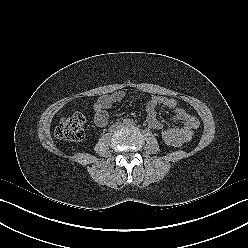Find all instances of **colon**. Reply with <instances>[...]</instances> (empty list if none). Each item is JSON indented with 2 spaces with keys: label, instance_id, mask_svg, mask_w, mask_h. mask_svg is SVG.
<instances>
[{
  "label": "colon",
  "instance_id": "obj_1",
  "mask_svg": "<svg viewBox=\"0 0 248 248\" xmlns=\"http://www.w3.org/2000/svg\"><path fill=\"white\" fill-rule=\"evenodd\" d=\"M85 117L77 112L60 119L55 134L59 139L68 141H80L84 137ZM163 142L169 146L181 145L179 137L172 131L165 130L161 133Z\"/></svg>",
  "mask_w": 248,
  "mask_h": 248
}]
</instances>
